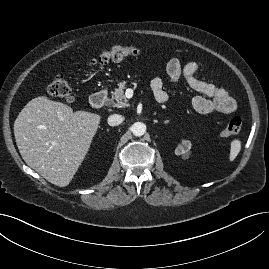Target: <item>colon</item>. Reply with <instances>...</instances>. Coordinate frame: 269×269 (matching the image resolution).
Instances as JSON below:
<instances>
[{
    "mask_svg": "<svg viewBox=\"0 0 269 269\" xmlns=\"http://www.w3.org/2000/svg\"><path fill=\"white\" fill-rule=\"evenodd\" d=\"M138 49L135 45L113 46L101 50L96 55L90 57L87 61L88 65L104 64L110 61H120L126 57L136 55ZM48 92L51 96L61 99L64 102H73L74 93L69 82L63 75L53 77L48 87ZM243 123L240 117H233L229 120L226 126L220 131V136L228 137L238 134L242 129Z\"/></svg>",
    "mask_w": 269,
    "mask_h": 269,
    "instance_id": "obj_1",
    "label": "colon"
}]
</instances>
